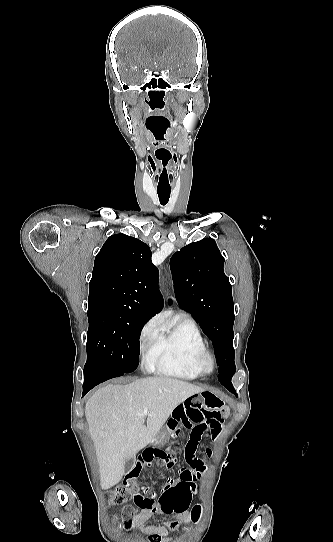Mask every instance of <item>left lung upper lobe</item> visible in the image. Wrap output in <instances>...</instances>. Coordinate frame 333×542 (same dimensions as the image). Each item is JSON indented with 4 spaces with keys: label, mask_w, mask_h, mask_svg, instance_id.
Segmentation results:
<instances>
[{
    "label": "left lung upper lobe",
    "mask_w": 333,
    "mask_h": 542,
    "mask_svg": "<svg viewBox=\"0 0 333 542\" xmlns=\"http://www.w3.org/2000/svg\"><path fill=\"white\" fill-rule=\"evenodd\" d=\"M225 259L215 240L204 238L176 252L170 259L175 296L212 341L219 366L218 380L235 373L232 287L224 274Z\"/></svg>",
    "instance_id": "5c2ea615"
}]
</instances>
